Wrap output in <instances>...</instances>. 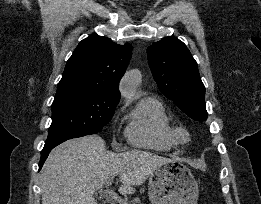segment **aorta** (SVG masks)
<instances>
[{"instance_id":"obj_1","label":"aorta","mask_w":261,"mask_h":204,"mask_svg":"<svg viewBox=\"0 0 261 204\" xmlns=\"http://www.w3.org/2000/svg\"><path fill=\"white\" fill-rule=\"evenodd\" d=\"M140 80L141 74L139 70L133 69L128 71L122 78L120 84L121 94L126 98L134 96V94L136 93L137 86L140 83Z\"/></svg>"}]
</instances>
